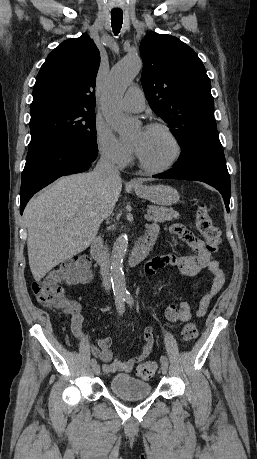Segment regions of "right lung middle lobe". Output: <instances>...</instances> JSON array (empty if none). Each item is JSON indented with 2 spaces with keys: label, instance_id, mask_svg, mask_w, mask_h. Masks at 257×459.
I'll list each match as a JSON object with an SVG mask.
<instances>
[{
  "label": "right lung middle lobe",
  "instance_id": "obj_1",
  "mask_svg": "<svg viewBox=\"0 0 257 459\" xmlns=\"http://www.w3.org/2000/svg\"><path fill=\"white\" fill-rule=\"evenodd\" d=\"M94 110L52 106L31 112V141L56 140L97 148Z\"/></svg>",
  "mask_w": 257,
  "mask_h": 459
}]
</instances>
